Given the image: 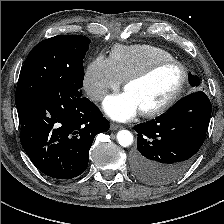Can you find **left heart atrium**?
Returning <instances> with one entry per match:
<instances>
[{"label":"left heart atrium","mask_w":224,"mask_h":224,"mask_svg":"<svg viewBox=\"0 0 224 224\" xmlns=\"http://www.w3.org/2000/svg\"><path fill=\"white\" fill-rule=\"evenodd\" d=\"M103 109L109 117L117 121L130 120L140 111L136 100L127 91L107 97Z\"/></svg>","instance_id":"obj_1"}]
</instances>
